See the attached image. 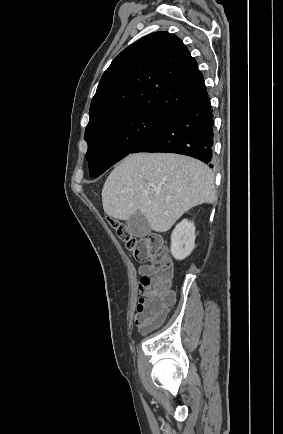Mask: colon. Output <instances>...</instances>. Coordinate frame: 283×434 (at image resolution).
<instances>
[{
	"label": "colon",
	"mask_w": 283,
	"mask_h": 434,
	"mask_svg": "<svg viewBox=\"0 0 283 434\" xmlns=\"http://www.w3.org/2000/svg\"><path fill=\"white\" fill-rule=\"evenodd\" d=\"M108 221L137 261L154 264L153 271L140 278V297L135 316L136 325L141 331L147 332L162 322L174 300V295L170 291L171 262L162 241L157 236H133L119 221L111 218H108Z\"/></svg>",
	"instance_id": "colon-1"
}]
</instances>
